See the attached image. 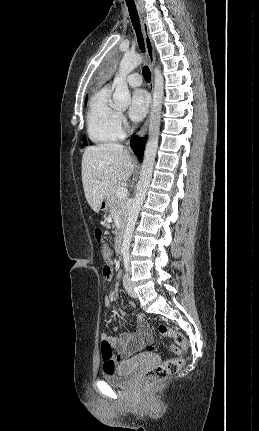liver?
Here are the masks:
<instances>
[{
    "label": "liver",
    "mask_w": 259,
    "mask_h": 431,
    "mask_svg": "<svg viewBox=\"0 0 259 431\" xmlns=\"http://www.w3.org/2000/svg\"><path fill=\"white\" fill-rule=\"evenodd\" d=\"M136 164L127 149L117 143L89 146L82 157V183L90 207L99 212L101 202L118 182L131 177Z\"/></svg>",
    "instance_id": "obj_1"
}]
</instances>
